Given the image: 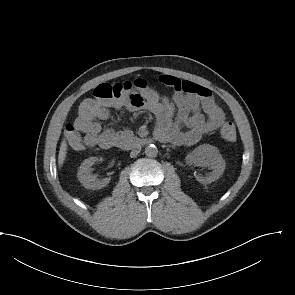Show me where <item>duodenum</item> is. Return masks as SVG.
I'll use <instances>...</instances> for the list:
<instances>
[{
	"instance_id": "1",
	"label": "duodenum",
	"mask_w": 295,
	"mask_h": 295,
	"mask_svg": "<svg viewBox=\"0 0 295 295\" xmlns=\"http://www.w3.org/2000/svg\"><path fill=\"white\" fill-rule=\"evenodd\" d=\"M156 140L165 143L167 142V139L164 137H156ZM150 141L151 140L149 138L136 137L128 133H124L117 138L113 146H118L122 148H135L147 146L150 144Z\"/></svg>"
}]
</instances>
